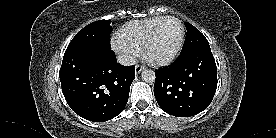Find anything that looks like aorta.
<instances>
[{"mask_svg":"<svg viewBox=\"0 0 276 138\" xmlns=\"http://www.w3.org/2000/svg\"><path fill=\"white\" fill-rule=\"evenodd\" d=\"M155 72L151 69H145L142 71V79L147 83H153L155 81Z\"/></svg>","mask_w":276,"mask_h":138,"instance_id":"1","label":"aorta"}]
</instances>
